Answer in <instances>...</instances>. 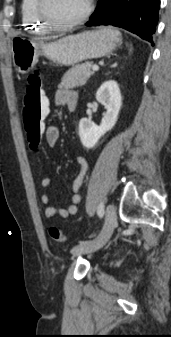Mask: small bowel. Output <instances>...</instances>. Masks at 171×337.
I'll return each instance as SVG.
<instances>
[{"label": "small bowel", "mask_w": 171, "mask_h": 337, "mask_svg": "<svg viewBox=\"0 0 171 337\" xmlns=\"http://www.w3.org/2000/svg\"><path fill=\"white\" fill-rule=\"evenodd\" d=\"M77 103L78 94L73 90L62 88L58 89L54 94V104L57 107L67 106L69 109L71 107H74L75 109ZM45 137L47 143L50 146H55L60 139V129L55 125L47 126L45 129ZM76 164L79 167V172L72 182V197L70 204L65 207H57L55 205V201L51 196H49L48 194L42 195L41 201L44 205H47L45 209V217L47 219L51 220L57 215L62 218H68L78 212V205L81 201L80 189L88 173L89 164L86 158L82 156L76 158ZM40 185L42 188H47L50 185V179L46 176L42 177L40 180Z\"/></svg>", "instance_id": "small-bowel-1"}]
</instances>
